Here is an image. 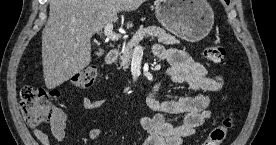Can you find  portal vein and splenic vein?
Returning <instances> with one entry per match:
<instances>
[{
	"label": "portal vein and splenic vein",
	"mask_w": 276,
	"mask_h": 145,
	"mask_svg": "<svg viewBox=\"0 0 276 145\" xmlns=\"http://www.w3.org/2000/svg\"><path fill=\"white\" fill-rule=\"evenodd\" d=\"M104 35L112 41H118L119 38H120V36L113 31V24L112 23H108L104 27ZM134 50L135 51H140V50H142V47L140 45H137Z\"/></svg>",
	"instance_id": "18ae733b"
}]
</instances>
